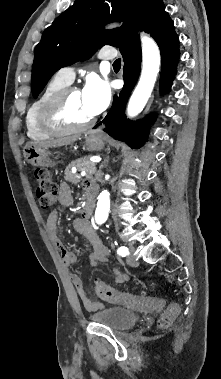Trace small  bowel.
I'll use <instances>...</instances> for the list:
<instances>
[{
    "label": "small bowel",
    "mask_w": 221,
    "mask_h": 379,
    "mask_svg": "<svg viewBox=\"0 0 221 379\" xmlns=\"http://www.w3.org/2000/svg\"><path fill=\"white\" fill-rule=\"evenodd\" d=\"M89 184L91 183H86V189ZM59 202L63 207H70L73 204V193L65 183L60 185ZM61 216L62 212L60 209L52 211L47 219L46 231L51 242L59 251L64 267L68 269L70 266L77 263L78 259L59 238L58 228ZM73 227L78 233L82 234L92 246V254L89 258L90 265H96L99 262H106L109 251L98 236L89 217L84 214L82 217L75 219L73 222ZM113 274L114 282L116 283H125L129 279L128 275L117 268L113 269ZM69 278L76 289L78 297L88 310H97L102 306L100 302L90 299L84 289L82 280L77 274L69 273Z\"/></svg>",
    "instance_id": "c3829d8e"
}]
</instances>
